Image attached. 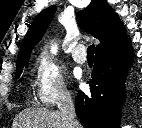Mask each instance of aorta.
<instances>
[{
  "label": "aorta",
  "mask_w": 142,
  "mask_h": 128,
  "mask_svg": "<svg viewBox=\"0 0 142 128\" xmlns=\"http://www.w3.org/2000/svg\"><path fill=\"white\" fill-rule=\"evenodd\" d=\"M52 51L55 53V52L57 51V47H56V46L53 47V48H52Z\"/></svg>",
  "instance_id": "1"
}]
</instances>
